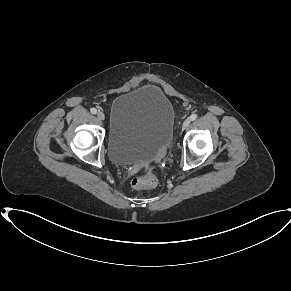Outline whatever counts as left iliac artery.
Listing matches in <instances>:
<instances>
[{"label":"left iliac artery","instance_id":"1","mask_svg":"<svg viewBox=\"0 0 291 291\" xmlns=\"http://www.w3.org/2000/svg\"><path fill=\"white\" fill-rule=\"evenodd\" d=\"M196 118H197V114L195 113L190 116L191 121L195 120Z\"/></svg>","mask_w":291,"mask_h":291}]
</instances>
